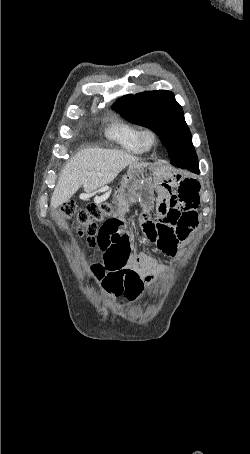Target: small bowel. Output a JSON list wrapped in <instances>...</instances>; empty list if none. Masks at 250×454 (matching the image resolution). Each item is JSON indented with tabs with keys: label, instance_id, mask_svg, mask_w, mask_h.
Returning <instances> with one entry per match:
<instances>
[{
	"label": "small bowel",
	"instance_id": "1",
	"mask_svg": "<svg viewBox=\"0 0 250 454\" xmlns=\"http://www.w3.org/2000/svg\"><path fill=\"white\" fill-rule=\"evenodd\" d=\"M116 194L144 209L141 225L147 238L165 254L174 257L178 247L198 224L199 182L192 177L154 176L129 172L116 187ZM102 260L90 271L103 289L114 296L135 300L167 268L144 253L133 252L134 234L124 218L103 223L97 233Z\"/></svg>",
	"mask_w": 250,
	"mask_h": 454
}]
</instances>
